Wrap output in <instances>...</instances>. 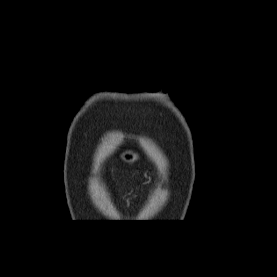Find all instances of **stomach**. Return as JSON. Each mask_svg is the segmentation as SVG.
<instances>
[{
  "label": "stomach",
  "mask_w": 277,
  "mask_h": 277,
  "mask_svg": "<svg viewBox=\"0 0 277 277\" xmlns=\"http://www.w3.org/2000/svg\"><path fill=\"white\" fill-rule=\"evenodd\" d=\"M121 158L126 162H134L138 159V154L133 151H125L121 154Z\"/></svg>",
  "instance_id": "stomach-1"
}]
</instances>
